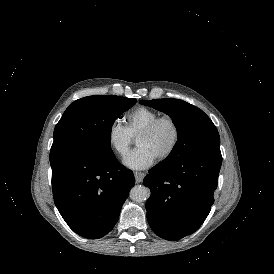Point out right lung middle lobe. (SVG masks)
Instances as JSON below:
<instances>
[{"instance_id":"obj_1","label":"right lung middle lobe","mask_w":274,"mask_h":274,"mask_svg":"<svg viewBox=\"0 0 274 274\" xmlns=\"http://www.w3.org/2000/svg\"><path fill=\"white\" fill-rule=\"evenodd\" d=\"M136 101L113 95L88 96L74 101L55 127L50 163L70 156L112 153V125Z\"/></svg>"}]
</instances>
